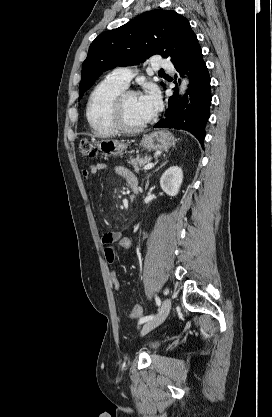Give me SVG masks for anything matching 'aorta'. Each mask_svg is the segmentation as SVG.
<instances>
[{
    "label": "aorta",
    "mask_w": 272,
    "mask_h": 417,
    "mask_svg": "<svg viewBox=\"0 0 272 417\" xmlns=\"http://www.w3.org/2000/svg\"><path fill=\"white\" fill-rule=\"evenodd\" d=\"M188 79L187 78H184L183 80H182V82H181V85H180V90H179V93L181 94V95H184L185 94V91H186V89H187V85H188Z\"/></svg>",
    "instance_id": "762f6f07"
}]
</instances>
